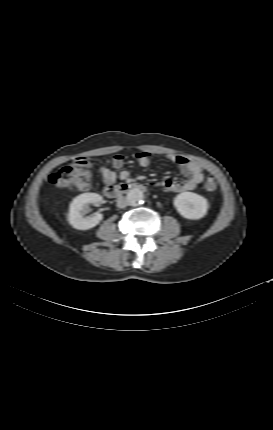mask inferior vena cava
<instances>
[{"label": "inferior vena cava", "mask_w": 273, "mask_h": 430, "mask_svg": "<svg viewBox=\"0 0 273 430\" xmlns=\"http://www.w3.org/2000/svg\"><path fill=\"white\" fill-rule=\"evenodd\" d=\"M128 205V202L125 197L121 196L117 199V206L119 208H125Z\"/></svg>", "instance_id": "1"}]
</instances>
